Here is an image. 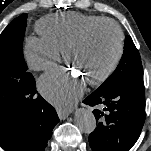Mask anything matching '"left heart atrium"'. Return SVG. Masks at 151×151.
Listing matches in <instances>:
<instances>
[{
	"label": "left heart atrium",
	"mask_w": 151,
	"mask_h": 151,
	"mask_svg": "<svg viewBox=\"0 0 151 151\" xmlns=\"http://www.w3.org/2000/svg\"><path fill=\"white\" fill-rule=\"evenodd\" d=\"M86 81L72 69L58 68L39 80L42 95L60 109L69 108L83 94Z\"/></svg>",
	"instance_id": "left-heart-atrium-1"
}]
</instances>
